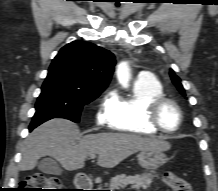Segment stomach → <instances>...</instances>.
<instances>
[{"label":"stomach","mask_w":218,"mask_h":191,"mask_svg":"<svg viewBox=\"0 0 218 191\" xmlns=\"http://www.w3.org/2000/svg\"><path fill=\"white\" fill-rule=\"evenodd\" d=\"M167 160L163 151L159 150H142L138 154L139 165L151 172L163 166Z\"/></svg>","instance_id":"0dacf381"}]
</instances>
